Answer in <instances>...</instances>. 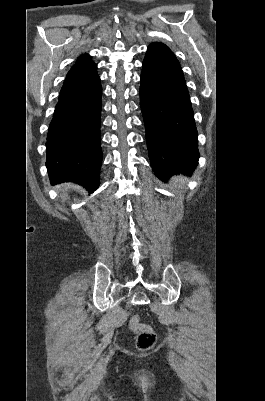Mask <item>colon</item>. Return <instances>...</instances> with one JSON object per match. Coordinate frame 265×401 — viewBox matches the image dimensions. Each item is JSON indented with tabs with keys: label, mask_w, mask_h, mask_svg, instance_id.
<instances>
[{
	"label": "colon",
	"mask_w": 265,
	"mask_h": 401,
	"mask_svg": "<svg viewBox=\"0 0 265 401\" xmlns=\"http://www.w3.org/2000/svg\"><path fill=\"white\" fill-rule=\"evenodd\" d=\"M130 329L136 334V346L139 350L148 351L156 342V334L153 329L143 323L138 315L130 319Z\"/></svg>",
	"instance_id": "5ec220e1"
}]
</instances>
